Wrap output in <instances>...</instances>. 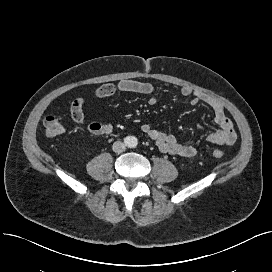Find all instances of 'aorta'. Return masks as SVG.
<instances>
[{
    "mask_svg": "<svg viewBox=\"0 0 272 272\" xmlns=\"http://www.w3.org/2000/svg\"><path fill=\"white\" fill-rule=\"evenodd\" d=\"M127 144L129 147H136L138 144V139L135 136L127 137Z\"/></svg>",
    "mask_w": 272,
    "mask_h": 272,
    "instance_id": "obj_1",
    "label": "aorta"
}]
</instances>
